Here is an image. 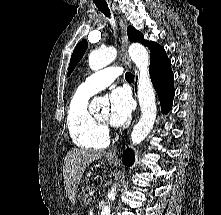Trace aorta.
Segmentation results:
<instances>
[{
	"label": "aorta",
	"instance_id": "obj_1",
	"mask_svg": "<svg viewBox=\"0 0 221 215\" xmlns=\"http://www.w3.org/2000/svg\"><path fill=\"white\" fill-rule=\"evenodd\" d=\"M129 56L135 63L138 75V100L141 109V118L135 124L131 141L133 145L141 143L149 134L154 126L156 119V101L153 85L149 76V54L146 48L139 44L133 43L128 49ZM117 56V50L113 47L100 49L90 53L88 58L89 66L92 70H99L109 65ZM100 107H104V103L100 98H94L89 106L90 111L94 112ZM117 186H113L107 195L108 204L104 206L100 215H110V201L115 199Z\"/></svg>",
	"mask_w": 221,
	"mask_h": 215
}]
</instances>
